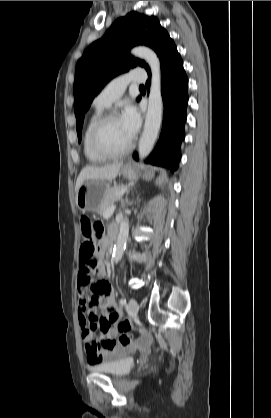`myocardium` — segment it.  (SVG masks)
<instances>
[{"label":"myocardium","instance_id":"1","mask_svg":"<svg viewBox=\"0 0 271 418\" xmlns=\"http://www.w3.org/2000/svg\"><path fill=\"white\" fill-rule=\"evenodd\" d=\"M119 118L118 114L115 112H106L100 116V118L94 124L91 134H90V143L93 150L105 157V158H119L127 155L133 148V141L131 140L129 144L120 151H112L105 147L101 141V134L106 126V124L113 119Z\"/></svg>","mask_w":271,"mask_h":418}]
</instances>
